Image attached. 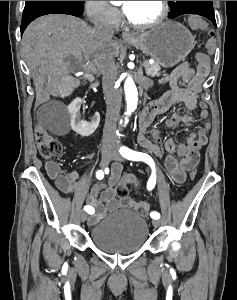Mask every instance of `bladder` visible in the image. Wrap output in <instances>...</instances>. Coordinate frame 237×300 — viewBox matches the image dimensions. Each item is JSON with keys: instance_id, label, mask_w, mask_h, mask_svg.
Instances as JSON below:
<instances>
[{"instance_id": "bladder-1", "label": "bladder", "mask_w": 237, "mask_h": 300, "mask_svg": "<svg viewBox=\"0 0 237 300\" xmlns=\"http://www.w3.org/2000/svg\"><path fill=\"white\" fill-rule=\"evenodd\" d=\"M149 225L140 214L124 209L90 228L89 237L99 249L116 254H130L147 242Z\"/></svg>"}]
</instances>
